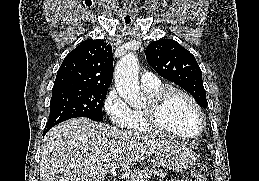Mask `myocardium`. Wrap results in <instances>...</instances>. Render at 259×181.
<instances>
[{"label":"myocardium","instance_id":"f54148a6","mask_svg":"<svg viewBox=\"0 0 259 181\" xmlns=\"http://www.w3.org/2000/svg\"><path fill=\"white\" fill-rule=\"evenodd\" d=\"M174 95H180L186 98L197 111L200 119V127L197 132L193 134H179L170 130L164 125L162 121L163 110L168 100ZM144 111L147 117V121L149 125L152 127V129L158 133L170 137L183 140L193 139L200 136L205 129V115L203 113L201 106L191 94L177 87L166 86L162 88L153 97L149 99L147 106L144 108Z\"/></svg>","mask_w":259,"mask_h":181}]
</instances>
